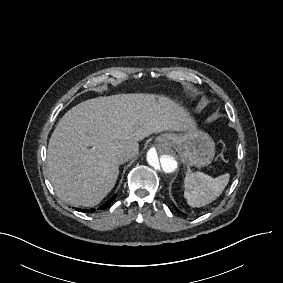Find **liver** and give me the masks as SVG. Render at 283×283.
<instances>
[{
	"label": "liver",
	"instance_id": "6515ba94",
	"mask_svg": "<svg viewBox=\"0 0 283 283\" xmlns=\"http://www.w3.org/2000/svg\"><path fill=\"white\" fill-rule=\"evenodd\" d=\"M195 130L188 113L165 97L123 94L91 99L69 110L54 130L48 176L62 201L94 206L117 182L118 152L129 145L137 148L156 132Z\"/></svg>",
	"mask_w": 283,
	"mask_h": 283
}]
</instances>
